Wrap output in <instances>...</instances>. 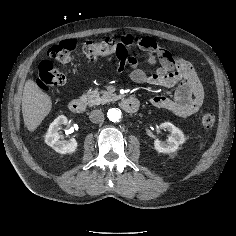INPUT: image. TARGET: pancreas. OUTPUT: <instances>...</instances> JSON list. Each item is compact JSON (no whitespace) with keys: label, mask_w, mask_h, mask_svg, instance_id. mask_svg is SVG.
I'll use <instances>...</instances> for the list:
<instances>
[{"label":"pancreas","mask_w":236,"mask_h":236,"mask_svg":"<svg viewBox=\"0 0 236 236\" xmlns=\"http://www.w3.org/2000/svg\"><path fill=\"white\" fill-rule=\"evenodd\" d=\"M116 95L110 92L98 89H90L81 96V99L86 101L89 106H95L115 100Z\"/></svg>","instance_id":"obj_1"}]
</instances>
